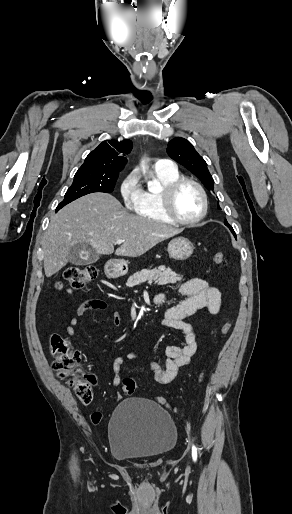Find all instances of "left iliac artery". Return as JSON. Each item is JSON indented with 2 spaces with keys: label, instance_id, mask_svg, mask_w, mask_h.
<instances>
[{
  "label": "left iliac artery",
  "instance_id": "obj_1",
  "mask_svg": "<svg viewBox=\"0 0 292 514\" xmlns=\"http://www.w3.org/2000/svg\"><path fill=\"white\" fill-rule=\"evenodd\" d=\"M192 457L194 461L197 460V448L195 447V445L192 446Z\"/></svg>",
  "mask_w": 292,
  "mask_h": 514
}]
</instances>
